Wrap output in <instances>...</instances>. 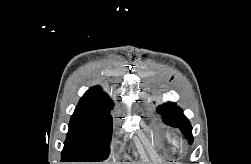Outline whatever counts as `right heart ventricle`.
Here are the masks:
<instances>
[{"instance_id": "1", "label": "right heart ventricle", "mask_w": 251, "mask_h": 164, "mask_svg": "<svg viewBox=\"0 0 251 164\" xmlns=\"http://www.w3.org/2000/svg\"><path fill=\"white\" fill-rule=\"evenodd\" d=\"M162 136H163L164 140L168 144H173L174 143L173 135H172V133H171V131L169 129L164 127L163 132H162Z\"/></svg>"}]
</instances>
